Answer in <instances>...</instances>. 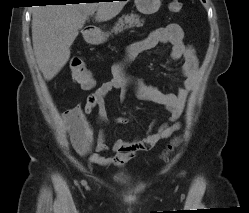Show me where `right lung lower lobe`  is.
I'll return each mask as SVG.
<instances>
[{
  "instance_id": "98d812e1",
  "label": "right lung lower lobe",
  "mask_w": 249,
  "mask_h": 213,
  "mask_svg": "<svg viewBox=\"0 0 249 213\" xmlns=\"http://www.w3.org/2000/svg\"><path fill=\"white\" fill-rule=\"evenodd\" d=\"M74 2V1H77V0H47V2H52V3H57L58 5L59 4H65V3H68V2ZM110 1V0H109ZM126 1V0H125Z\"/></svg>"
}]
</instances>
